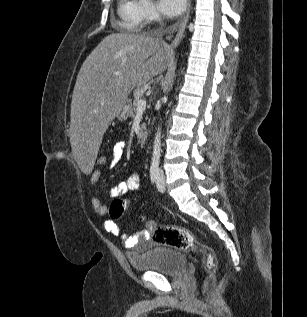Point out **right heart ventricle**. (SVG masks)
<instances>
[{
    "label": "right heart ventricle",
    "instance_id": "obj_1",
    "mask_svg": "<svg viewBox=\"0 0 307 317\" xmlns=\"http://www.w3.org/2000/svg\"><path fill=\"white\" fill-rule=\"evenodd\" d=\"M139 5V0H119L118 14L124 29L135 32L142 28Z\"/></svg>",
    "mask_w": 307,
    "mask_h": 317
}]
</instances>
